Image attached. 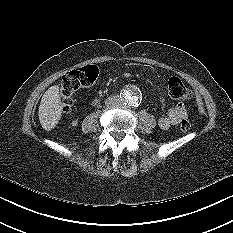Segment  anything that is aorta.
I'll list each match as a JSON object with an SVG mask.
<instances>
[{
	"label": "aorta",
	"mask_w": 233,
	"mask_h": 233,
	"mask_svg": "<svg viewBox=\"0 0 233 233\" xmlns=\"http://www.w3.org/2000/svg\"><path fill=\"white\" fill-rule=\"evenodd\" d=\"M141 97V92L137 86L126 88L122 92V99L129 106H137Z\"/></svg>",
	"instance_id": "obj_1"
}]
</instances>
